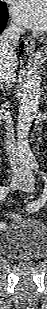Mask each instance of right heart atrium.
<instances>
[{
    "label": "right heart atrium",
    "mask_w": 47,
    "mask_h": 309,
    "mask_svg": "<svg viewBox=\"0 0 47 309\" xmlns=\"http://www.w3.org/2000/svg\"><path fill=\"white\" fill-rule=\"evenodd\" d=\"M12 29H13L14 31H20V30H21L20 27H19L16 23H13V24H12Z\"/></svg>",
    "instance_id": "right-heart-atrium-1"
}]
</instances>
